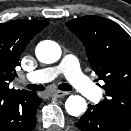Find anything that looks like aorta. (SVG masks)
<instances>
[{"label":"aorta","instance_id":"762f6f07","mask_svg":"<svg viewBox=\"0 0 131 131\" xmlns=\"http://www.w3.org/2000/svg\"><path fill=\"white\" fill-rule=\"evenodd\" d=\"M37 59L46 64L54 63L61 57L60 46L53 41H42L36 47ZM87 108L85 99L78 95H71L65 102V109L71 116L81 115Z\"/></svg>","mask_w":131,"mask_h":131}]
</instances>
